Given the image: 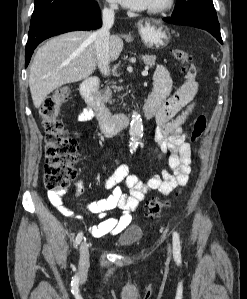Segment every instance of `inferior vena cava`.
I'll return each instance as SVG.
<instances>
[{
    "label": "inferior vena cava",
    "mask_w": 247,
    "mask_h": 299,
    "mask_svg": "<svg viewBox=\"0 0 247 299\" xmlns=\"http://www.w3.org/2000/svg\"><path fill=\"white\" fill-rule=\"evenodd\" d=\"M114 6L104 8L102 11V27L94 32L97 65L102 75L110 74L109 39L110 29L114 24Z\"/></svg>",
    "instance_id": "1"
}]
</instances>
